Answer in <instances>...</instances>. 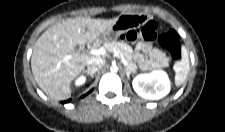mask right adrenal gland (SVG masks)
I'll return each instance as SVG.
<instances>
[{
  "mask_svg": "<svg viewBox=\"0 0 225 132\" xmlns=\"http://www.w3.org/2000/svg\"><path fill=\"white\" fill-rule=\"evenodd\" d=\"M84 72L87 73L88 75H90L92 78H93V76L95 74V72H90L88 70H84Z\"/></svg>",
  "mask_w": 225,
  "mask_h": 132,
  "instance_id": "obj_1",
  "label": "right adrenal gland"
}]
</instances>
